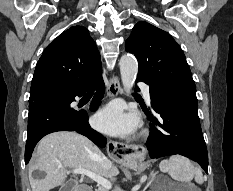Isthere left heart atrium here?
Instances as JSON below:
<instances>
[{"instance_id":"left-heart-atrium-1","label":"left heart atrium","mask_w":233,"mask_h":191,"mask_svg":"<svg viewBox=\"0 0 233 191\" xmlns=\"http://www.w3.org/2000/svg\"><path fill=\"white\" fill-rule=\"evenodd\" d=\"M93 125L106 134L125 137L137 130L139 119L126 113L121 105L111 104L94 115Z\"/></svg>"}]
</instances>
